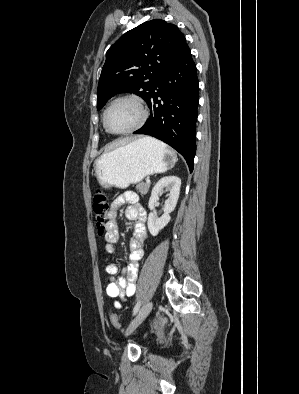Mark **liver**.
Here are the masks:
<instances>
[{
	"label": "liver",
	"instance_id": "liver-1",
	"mask_svg": "<svg viewBox=\"0 0 299 394\" xmlns=\"http://www.w3.org/2000/svg\"><path fill=\"white\" fill-rule=\"evenodd\" d=\"M130 140L131 139H124V140L118 142V145H120V144L124 145V144L128 143Z\"/></svg>",
	"mask_w": 299,
	"mask_h": 394
}]
</instances>
